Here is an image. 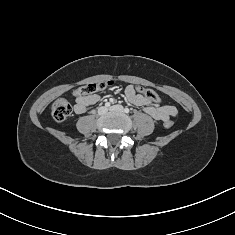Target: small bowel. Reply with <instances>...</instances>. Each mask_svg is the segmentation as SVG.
Wrapping results in <instances>:
<instances>
[{
	"mask_svg": "<svg viewBox=\"0 0 235 235\" xmlns=\"http://www.w3.org/2000/svg\"><path fill=\"white\" fill-rule=\"evenodd\" d=\"M125 96L130 103L144 107L145 112L155 120L166 122L177 114L175 106L152 104L151 101L138 93L132 85L125 89ZM99 99L100 97L97 94L78 96L75 100L74 110L77 114H82L86 112L89 106L97 103Z\"/></svg>",
	"mask_w": 235,
	"mask_h": 235,
	"instance_id": "small-bowel-1",
	"label": "small bowel"
}]
</instances>
